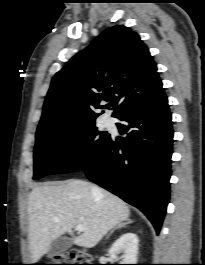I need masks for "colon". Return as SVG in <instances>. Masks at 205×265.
<instances>
[{
  "label": "colon",
  "mask_w": 205,
  "mask_h": 265,
  "mask_svg": "<svg viewBox=\"0 0 205 265\" xmlns=\"http://www.w3.org/2000/svg\"><path fill=\"white\" fill-rule=\"evenodd\" d=\"M47 265H92L89 253L82 248H76L56 256L52 262Z\"/></svg>",
  "instance_id": "5ec220e1"
}]
</instances>
